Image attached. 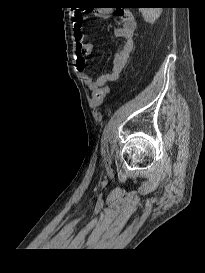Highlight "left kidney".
<instances>
[{
	"label": "left kidney",
	"mask_w": 205,
	"mask_h": 273,
	"mask_svg": "<svg viewBox=\"0 0 205 273\" xmlns=\"http://www.w3.org/2000/svg\"><path fill=\"white\" fill-rule=\"evenodd\" d=\"M144 20L148 23H154L161 15V8H139Z\"/></svg>",
	"instance_id": "1"
}]
</instances>
